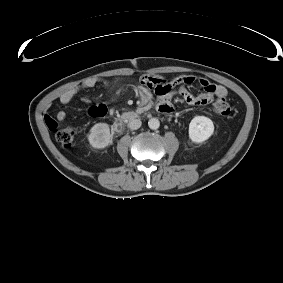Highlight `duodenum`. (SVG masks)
<instances>
[{
  "mask_svg": "<svg viewBox=\"0 0 283 283\" xmlns=\"http://www.w3.org/2000/svg\"><path fill=\"white\" fill-rule=\"evenodd\" d=\"M165 113H171L172 109L164 110ZM141 117L140 113L136 112H128L122 116V118L118 121V127L122 128L127 121L136 120Z\"/></svg>",
  "mask_w": 283,
  "mask_h": 283,
  "instance_id": "410a0bca",
  "label": "duodenum"
}]
</instances>
